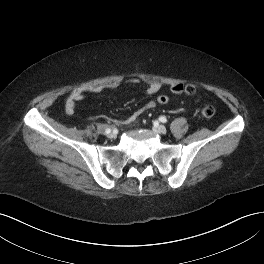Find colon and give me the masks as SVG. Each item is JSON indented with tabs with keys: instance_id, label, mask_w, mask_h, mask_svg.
Masks as SVG:
<instances>
[{
	"instance_id": "5ec220e1",
	"label": "colon",
	"mask_w": 264,
	"mask_h": 264,
	"mask_svg": "<svg viewBox=\"0 0 264 264\" xmlns=\"http://www.w3.org/2000/svg\"><path fill=\"white\" fill-rule=\"evenodd\" d=\"M195 87L191 84L184 86V92L192 95L195 93ZM169 102V97L166 95H160L157 97V103L160 105H166ZM216 113L215 108L212 105H206L200 108L199 114L204 118H212Z\"/></svg>"
}]
</instances>
